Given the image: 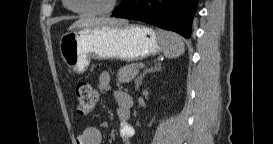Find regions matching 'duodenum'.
Segmentation results:
<instances>
[{"label":"duodenum","mask_w":273,"mask_h":144,"mask_svg":"<svg viewBox=\"0 0 273 144\" xmlns=\"http://www.w3.org/2000/svg\"><path fill=\"white\" fill-rule=\"evenodd\" d=\"M122 104H123V106H124L126 109L130 110V108H131V106H132V104H133V101H132V99H131L129 96H127V97L122 101ZM129 116H130V114H129Z\"/></svg>","instance_id":"1"}]
</instances>
